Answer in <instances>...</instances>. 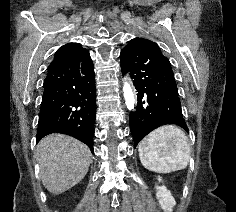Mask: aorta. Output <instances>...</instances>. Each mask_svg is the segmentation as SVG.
<instances>
[{"instance_id": "1", "label": "aorta", "mask_w": 236, "mask_h": 212, "mask_svg": "<svg viewBox=\"0 0 236 212\" xmlns=\"http://www.w3.org/2000/svg\"><path fill=\"white\" fill-rule=\"evenodd\" d=\"M123 94L127 108L133 110L136 104V99L127 78L124 79Z\"/></svg>"}]
</instances>
